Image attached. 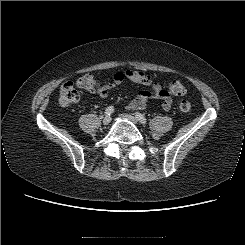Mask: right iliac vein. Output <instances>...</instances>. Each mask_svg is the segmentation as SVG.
Segmentation results:
<instances>
[{"instance_id": "1", "label": "right iliac vein", "mask_w": 245, "mask_h": 245, "mask_svg": "<svg viewBox=\"0 0 245 245\" xmlns=\"http://www.w3.org/2000/svg\"><path fill=\"white\" fill-rule=\"evenodd\" d=\"M111 122V117L110 116H106L103 119V124L104 125H108Z\"/></svg>"}]
</instances>
